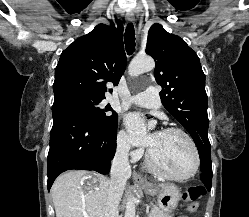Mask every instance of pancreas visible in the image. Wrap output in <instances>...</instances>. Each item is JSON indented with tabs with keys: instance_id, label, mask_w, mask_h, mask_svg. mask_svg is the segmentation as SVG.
<instances>
[{
	"instance_id": "1",
	"label": "pancreas",
	"mask_w": 249,
	"mask_h": 217,
	"mask_svg": "<svg viewBox=\"0 0 249 217\" xmlns=\"http://www.w3.org/2000/svg\"><path fill=\"white\" fill-rule=\"evenodd\" d=\"M148 217H171L168 213L163 212L160 208L154 207Z\"/></svg>"
}]
</instances>
